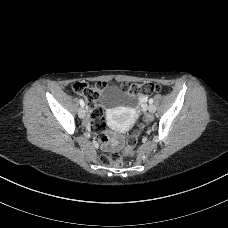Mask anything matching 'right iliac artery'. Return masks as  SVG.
<instances>
[{"mask_svg":"<svg viewBox=\"0 0 228 228\" xmlns=\"http://www.w3.org/2000/svg\"><path fill=\"white\" fill-rule=\"evenodd\" d=\"M79 102H80L81 107L85 106V103H84V101L82 99H80Z\"/></svg>","mask_w":228,"mask_h":228,"instance_id":"obj_1","label":"right iliac artery"}]
</instances>
